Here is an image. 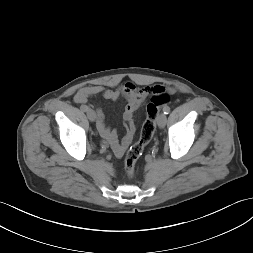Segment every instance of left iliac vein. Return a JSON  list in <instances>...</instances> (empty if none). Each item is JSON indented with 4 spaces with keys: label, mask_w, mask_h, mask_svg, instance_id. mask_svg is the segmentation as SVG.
I'll return each instance as SVG.
<instances>
[{
    "label": "left iliac vein",
    "mask_w": 253,
    "mask_h": 253,
    "mask_svg": "<svg viewBox=\"0 0 253 253\" xmlns=\"http://www.w3.org/2000/svg\"><path fill=\"white\" fill-rule=\"evenodd\" d=\"M167 117L165 114L161 113L157 118V124L160 128H163L166 124Z\"/></svg>",
    "instance_id": "4c4485c4"
}]
</instances>
